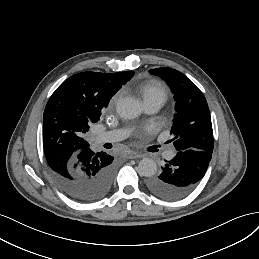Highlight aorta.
Here are the masks:
<instances>
[{"mask_svg":"<svg viewBox=\"0 0 259 259\" xmlns=\"http://www.w3.org/2000/svg\"><path fill=\"white\" fill-rule=\"evenodd\" d=\"M117 113L125 119L138 117L142 112V106L139 100L133 97H124L117 102ZM157 172V164L151 158H143L138 164V173L140 176L152 177Z\"/></svg>","mask_w":259,"mask_h":259,"instance_id":"1","label":"aorta"}]
</instances>
